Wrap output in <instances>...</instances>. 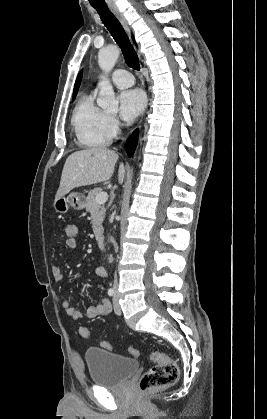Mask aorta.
I'll list each match as a JSON object with an SVG mask.
<instances>
[{
  "label": "aorta",
  "mask_w": 267,
  "mask_h": 419,
  "mask_svg": "<svg viewBox=\"0 0 267 419\" xmlns=\"http://www.w3.org/2000/svg\"><path fill=\"white\" fill-rule=\"evenodd\" d=\"M119 57V49L116 46L103 48L98 54V64L100 68L109 73L115 66ZM99 99L97 104L103 109H118L119 101L115 97L113 87L108 79L99 82Z\"/></svg>",
  "instance_id": "1"
}]
</instances>
